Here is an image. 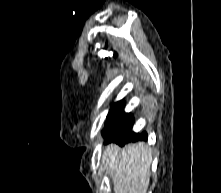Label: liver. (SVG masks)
<instances>
[{
	"mask_svg": "<svg viewBox=\"0 0 221 193\" xmlns=\"http://www.w3.org/2000/svg\"><path fill=\"white\" fill-rule=\"evenodd\" d=\"M114 183V193H147L152 152L144 142L120 148L107 146L102 155Z\"/></svg>",
	"mask_w": 221,
	"mask_h": 193,
	"instance_id": "1",
	"label": "liver"
}]
</instances>
